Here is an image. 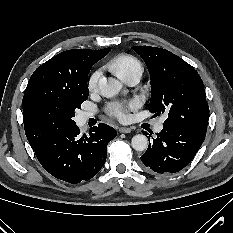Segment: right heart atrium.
Returning a JSON list of instances; mask_svg holds the SVG:
<instances>
[{"mask_svg":"<svg viewBox=\"0 0 233 233\" xmlns=\"http://www.w3.org/2000/svg\"><path fill=\"white\" fill-rule=\"evenodd\" d=\"M100 77H101V72L99 70L91 74L88 80V88L91 92L97 89Z\"/></svg>","mask_w":233,"mask_h":233,"instance_id":"obj_1","label":"right heart atrium"}]
</instances>
